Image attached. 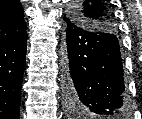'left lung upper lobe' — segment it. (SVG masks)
I'll return each mask as SVG.
<instances>
[{"instance_id": "5c2ea615", "label": "left lung upper lobe", "mask_w": 142, "mask_h": 119, "mask_svg": "<svg viewBox=\"0 0 142 119\" xmlns=\"http://www.w3.org/2000/svg\"><path fill=\"white\" fill-rule=\"evenodd\" d=\"M68 17L91 31L114 32L113 16L99 0H84L76 4Z\"/></svg>"}]
</instances>
